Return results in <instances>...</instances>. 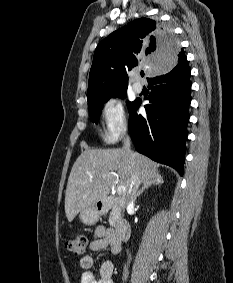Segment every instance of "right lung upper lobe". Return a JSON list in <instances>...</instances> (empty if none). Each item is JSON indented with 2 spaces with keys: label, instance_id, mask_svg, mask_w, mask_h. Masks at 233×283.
<instances>
[{
  "label": "right lung upper lobe",
  "instance_id": "1",
  "mask_svg": "<svg viewBox=\"0 0 233 283\" xmlns=\"http://www.w3.org/2000/svg\"><path fill=\"white\" fill-rule=\"evenodd\" d=\"M179 48L172 30L149 18L136 19L114 31L96 47L88 106L126 91L130 70H172V65L187 54V49Z\"/></svg>",
  "mask_w": 233,
  "mask_h": 283
}]
</instances>
